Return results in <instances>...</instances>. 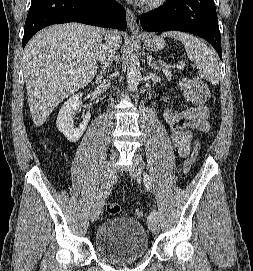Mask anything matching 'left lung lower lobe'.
<instances>
[{"label": "left lung lower lobe", "mask_w": 253, "mask_h": 271, "mask_svg": "<svg viewBox=\"0 0 253 271\" xmlns=\"http://www.w3.org/2000/svg\"><path fill=\"white\" fill-rule=\"evenodd\" d=\"M145 31L178 30L206 39L222 59L221 35L213 0H167L157 11L137 20Z\"/></svg>", "instance_id": "1"}]
</instances>
